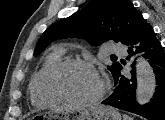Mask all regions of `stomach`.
<instances>
[{
    "mask_svg": "<svg viewBox=\"0 0 165 120\" xmlns=\"http://www.w3.org/2000/svg\"><path fill=\"white\" fill-rule=\"evenodd\" d=\"M40 117L49 120H121V115L113 107L104 105H88L63 111H49L37 114L31 120Z\"/></svg>",
    "mask_w": 165,
    "mask_h": 120,
    "instance_id": "obj_1",
    "label": "stomach"
}]
</instances>
